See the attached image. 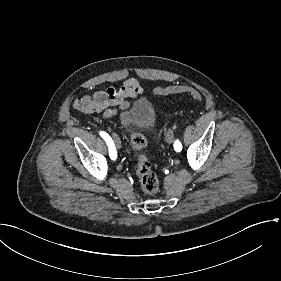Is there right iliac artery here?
Instances as JSON below:
<instances>
[{"instance_id":"1","label":"right iliac artery","mask_w":281,"mask_h":281,"mask_svg":"<svg viewBox=\"0 0 281 281\" xmlns=\"http://www.w3.org/2000/svg\"><path fill=\"white\" fill-rule=\"evenodd\" d=\"M100 135L106 141V143H107V145L109 147L110 158L112 160H115L116 157H117V153H116V149H115V145H114L113 140L111 139V137L106 132L101 131Z\"/></svg>"}]
</instances>
